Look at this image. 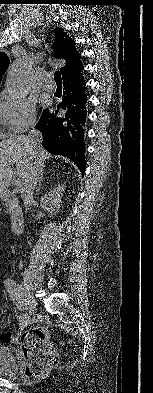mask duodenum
Here are the masks:
<instances>
[{"label":"duodenum","mask_w":153,"mask_h":393,"mask_svg":"<svg viewBox=\"0 0 153 393\" xmlns=\"http://www.w3.org/2000/svg\"><path fill=\"white\" fill-rule=\"evenodd\" d=\"M1 198L11 207L9 213L11 231L14 234L21 233L24 227V215L19 207L16 197L11 192H3Z\"/></svg>","instance_id":"obj_1"}]
</instances>
